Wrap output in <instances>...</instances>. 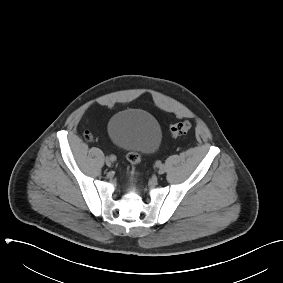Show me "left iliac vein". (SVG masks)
<instances>
[{"label": "left iliac vein", "instance_id": "left-iliac-vein-1", "mask_svg": "<svg viewBox=\"0 0 283 283\" xmlns=\"http://www.w3.org/2000/svg\"><path fill=\"white\" fill-rule=\"evenodd\" d=\"M164 172H165V167H164V165L159 166V168H158V173H159V174H164Z\"/></svg>", "mask_w": 283, "mask_h": 283}]
</instances>
